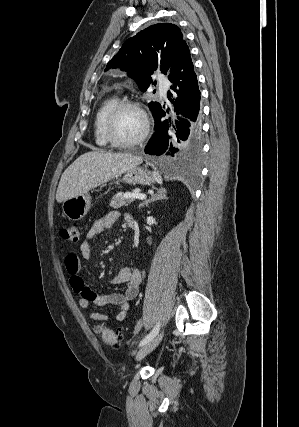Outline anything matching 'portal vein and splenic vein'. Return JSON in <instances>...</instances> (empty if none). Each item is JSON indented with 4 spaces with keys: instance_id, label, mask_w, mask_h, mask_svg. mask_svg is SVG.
<instances>
[{
    "instance_id": "18ae733b",
    "label": "portal vein and splenic vein",
    "mask_w": 299,
    "mask_h": 427,
    "mask_svg": "<svg viewBox=\"0 0 299 427\" xmlns=\"http://www.w3.org/2000/svg\"><path fill=\"white\" fill-rule=\"evenodd\" d=\"M124 197L125 198L140 199V200L146 199L145 194H136V193H126V194H124Z\"/></svg>"
}]
</instances>
